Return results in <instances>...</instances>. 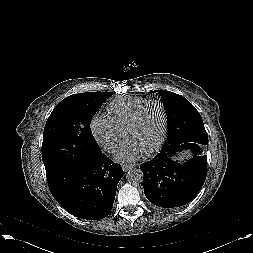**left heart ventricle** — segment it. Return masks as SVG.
I'll list each match as a JSON object with an SVG mask.
<instances>
[{"label": "left heart ventricle", "mask_w": 253, "mask_h": 253, "mask_svg": "<svg viewBox=\"0 0 253 253\" xmlns=\"http://www.w3.org/2000/svg\"><path fill=\"white\" fill-rule=\"evenodd\" d=\"M162 121L161 108L157 104L149 105L143 111L137 124L127 132L126 136L148 150L160 135Z\"/></svg>", "instance_id": "left-heart-ventricle-1"}]
</instances>
